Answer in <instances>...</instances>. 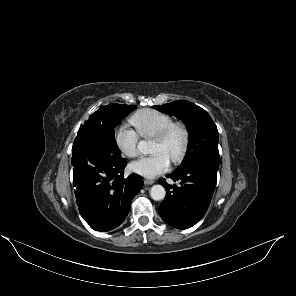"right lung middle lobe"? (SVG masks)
<instances>
[{
  "label": "right lung middle lobe",
  "instance_id": "right-lung-middle-lobe-1",
  "mask_svg": "<svg viewBox=\"0 0 296 296\" xmlns=\"http://www.w3.org/2000/svg\"><path fill=\"white\" fill-rule=\"evenodd\" d=\"M135 109L136 106L114 103L103 106L80 127L77 136L96 138L112 150L114 155L121 156V151L115 141L114 128Z\"/></svg>",
  "mask_w": 296,
  "mask_h": 296
}]
</instances>
